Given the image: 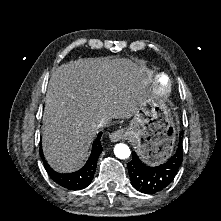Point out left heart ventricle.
<instances>
[{"mask_svg":"<svg viewBox=\"0 0 221 221\" xmlns=\"http://www.w3.org/2000/svg\"><path fill=\"white\" fill-rule=\"evenodd\" d=\"M161 81H162L163 83H165V82H166V77H162V78H161Z\"/></svg>","mask_w":221,"mask_h":221,"instance_id":"1","label":"left heart ventricle"}]
</instances>
